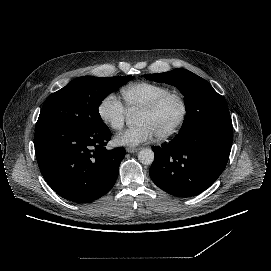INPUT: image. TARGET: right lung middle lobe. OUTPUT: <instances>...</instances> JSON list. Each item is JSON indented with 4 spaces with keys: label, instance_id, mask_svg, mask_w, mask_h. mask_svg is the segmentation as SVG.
Returning a JSON list of instances; mask_svg holds the SVG:
<instances>
[{
    "label": "right lung middle lobe",
    "instance_id": "right-lung-middle-lobe-1",
    "mask_svg": "<svg viewBox=\"0 0 271 271\" xmlns=\"http://www.w3.org/2000/svg\"><path fill=\"white\" fill-rule=\"evenodd\" d=\"M131 79L85 76L72 80L46 99L35 130L53 125L90 130L105 125L98 112L101 101Z\"/></svg>",
    "mask_w": 271,
    "mask_h": 271
}]
</instances>
